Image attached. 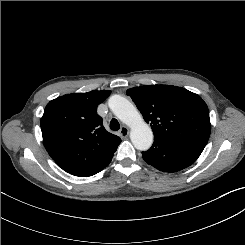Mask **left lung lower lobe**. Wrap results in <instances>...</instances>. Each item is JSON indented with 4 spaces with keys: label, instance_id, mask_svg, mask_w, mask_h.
Instances as JSON below:
<instances>
[{
    "label": "left lung lower lobe",
    "instance_id": "0a47b994",
    "mask_svg": "<svg viewBox=\"0 0 245 245\" xmlns=\"http://www.w3.org/2000/svg\"><path fill=\"white\" fill-rule=\"evenodd\" d=\"M200 154L193 148L154 138L152 147L142 152V157L158 170L171 173L190 166Z\"/></svg>",
    "mask_w": 245,
    "mask_h": 245
}]
</instances>
